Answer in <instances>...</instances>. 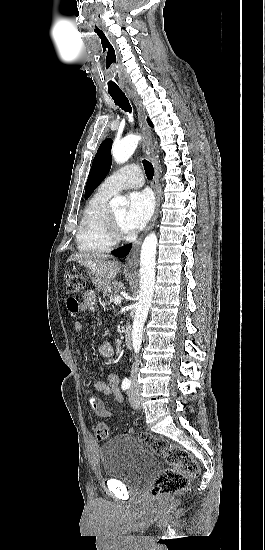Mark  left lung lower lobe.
Segmentation results:
<instances>
[{"label": "left lung lower lobe", "mask_w": 265, "mask_h": 550, "mask_svg": "<svg viewBox=\"0 0 265 550\" xmlns=\"http://www.w3.org/2000/svg\"><path fill=\"white\" fill-rule=\"evenodd\" d=\"M130 248H131V244L127 245V246H124L122 248H119L118 250H116L113 253V255L117 256V257H125L128 254V252L130 251Z\"/></svg>", "instance_id": "obj_1"}]
</instances>
